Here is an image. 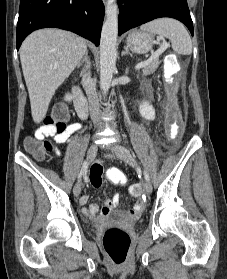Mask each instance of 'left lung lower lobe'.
Listing matches in <instances>:
<instances>
[{"label": "left lung lower lobe", "mask_w": 227, "mask_h": 279, "mask_svg": "<svg viewBox=\"0 0 227 279\" xmlns=\"http://www.w3.org/2000/svg\"><path fill=\"white\" fill-rule=\"evenodd\" d=\"M118 35L156 18L170 17L184 23L193 36L187 0H118Z\"/></svg>", "instance_id": "0a47b994"}]
</instances>
